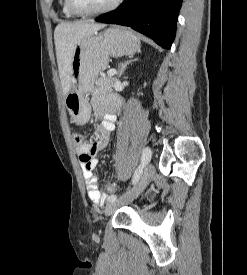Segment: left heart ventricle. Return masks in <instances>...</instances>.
<instances>
[{
	"label": "left heart ventricle",
	"instance_id": "1",
	"mask_svg": "<svg viewBox=\"0 0 247 275\" xmlns=\"http://www.w3.org/2000/svg\"><path fill=\"white\" fill-rule=\"evenodd\" d=\"M74 4L86 11H92L107 6L112 0H73Z\"/></svg>",
	"mask_w": 247,
	"mask_h": 275
}]
</instances>
